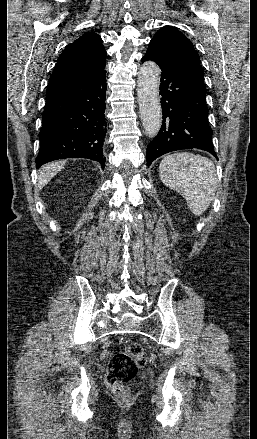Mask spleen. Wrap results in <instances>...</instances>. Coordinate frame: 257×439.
Here are the masks:
<instances>
[{
    "instance_id": "3e777b00",
    "label": "spleen",
    "mask_w": 257,
    "mask_h": 439,
    "mask_svg": "<svg viewBox=\"0 0 257 439\" xmlns=\"http://www.w3.org/2000/svg\"><path fill=\"white\" fill-rule=\"evenodd\" d=\"M162 182L186 200L189 210L200 216L209 207L217 188L211 160L190 152L167 155L159 165Z\"/></svg>"
}]
</instances>
